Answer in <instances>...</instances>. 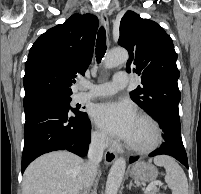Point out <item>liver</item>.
Instances as JSON below:
<instances>
[{
    "instance_id": "6515ba94",
    "label": "liver",
    "mask_w": 201,
    "mask_h": 194,
    "mask_svg": "<svg viewBox=\"0 0 201 194\" xmlns=\"http://www.w3.org/2000/svg\"><path fill=\"white\" fill-rule=\"evenodd\" d=\"M85 162L67 151L42 155L25 170L22 194H79Z\"/></svg>"
}]
</instances>
